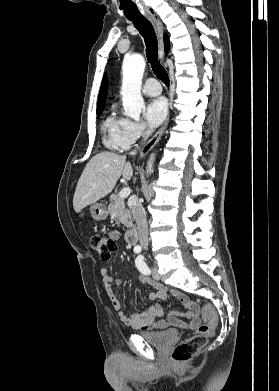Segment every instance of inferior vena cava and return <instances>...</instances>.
I'll use <instances>...</instances> for the list:
<instances>
[{
	"label": "inferior vena cava",
	"instance_id": "602c4592",
	"mask_svg": "<svg viewBox=\"0 0 279 391\" xmlns=\"http://www.w3.org/2000/svg\"><path fill=\"white\" fill-rule=\"evenodd\" d=\"M148 137V132L144 134V139ZM131 154H136L132 152ZM130 209L133 214L134 220L137 225L140 245L143 249H148V224L146 218V212L142 204L139 202L138 197H134L130 204Z\"/></svg>",
	"mask_w": 279,
	"mask_h": 391
}]
</instances>
